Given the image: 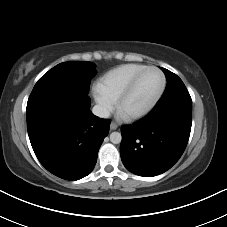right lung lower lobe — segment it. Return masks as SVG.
<instances>
[{"label":"right lung lower lobe","instance_id":"right-lung-lower-lobe-1","mask_svg":"<svg viewBox=\"0 0 227 227\" xmlns=\"http://www.w3.org/2000/svg\"><path fill=\"white\" fill-rule=\"evenodd\" d=\"M82 91L46 96L27 106V130L40 163L55 176L79 180L94 168L109 120L93 115Z\"/></svg>","mask_w":227,"mask_h":227}]
</instances>
